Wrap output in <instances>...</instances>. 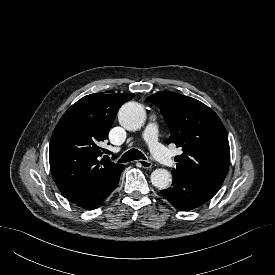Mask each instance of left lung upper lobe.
Wrapping results in <instances>:
<instances>
[{"label": "left lung upper lobe", "mask_w": 275, "mask_h": 275, "mask_svg": "<svg viewBox=\"0 0 275 275\" xmlns=\"http://www.w3.org/2000/svg\"><path fill=\"white\" fill-rule=\"evenodd\" d=\"M146 100L161 109L171 132L168 144L182 147L172 174L219 189L229 169L230 147L218 115L202 102L174 92L156 93Z\"/></svg>", "instance_id": "obj_1"}]
</instances>
